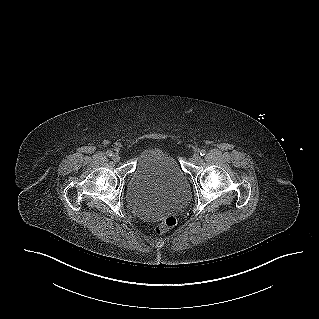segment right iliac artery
Here are the masks:
<instances>
[{
	"label": "right iliac artery",
	"instance_id": "obj_1",
	"mask_svg": "<svg viewBox=\"0 0 319 319\" xmlns=\"http://www.w3.org/2000/svg\"><path fill=\"white\" fill-rule=\"evenodd\" d=\"M106 154H107V156H109V157H111V156L113 155L112 151H110V150H108V151L106 152Z\"/></svg>",
	"mask_w": 319,
	"mask_h": 319
}]
</instances>
